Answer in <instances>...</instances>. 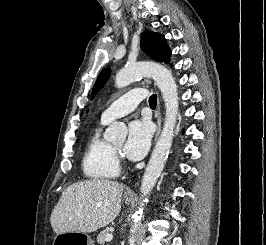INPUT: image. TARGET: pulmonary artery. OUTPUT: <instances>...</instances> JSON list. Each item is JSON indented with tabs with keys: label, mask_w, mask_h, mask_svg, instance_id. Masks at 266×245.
<instances>
[{
	"label": "pulmonary artery",
	"mask_w": 266,
	"mask_h": 245,
	"mask_svg": "<svg viewBox=\"0 0 266 245\" xmlns=\"http://www.w3.org/2000/svg\"><path fill=\"white\" fill-rule=\"evenodd\" d=\"M139 90H144V87H139ZM141 95H146V92L128 91L125 96H119L118 100H112V104L101 113L100 120L107 123L132 112L139 101H144Z\"/></svg>",
	"instance_id": "e3ab8cb5"
}]
</instances>
